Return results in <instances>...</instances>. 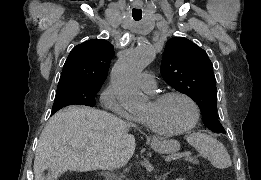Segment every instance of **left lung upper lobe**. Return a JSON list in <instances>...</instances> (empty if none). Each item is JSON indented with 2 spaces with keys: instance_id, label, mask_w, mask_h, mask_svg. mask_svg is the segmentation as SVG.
I'll return each mask as SVG.
<instances>
[{
  "instance_id": "5c2ea615",
  "label": "left lung upper lobe",
  "mask_w": 261,
  "mask_h": 180,
  "mask_svg": "<svg viewBox=\"0 0 261 180\" xmlns=\"http://www.w3.org/2000/svg\"><path fill=\"white\" fill-rule=\"evenodd\" d=\"M164 80L200 107L204 125L225 133L217 116V91L212 63L206 52L184 37L169 40L161 63Z\"/></svg>"
}]
</instances>
